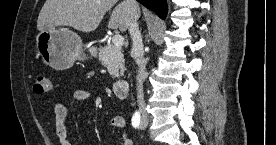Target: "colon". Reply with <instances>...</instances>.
Masks as SVG:
<instances>
[{"mask_svg":"<svg viewBox=\"0 0 276 145\" xmlns=\"http://www.w3.org/2000/svg\"><path fill=\"white\" fill-rule=\"evenodd\" d=\"M52 90V83L50 78L43 73H37L35 75L33 91L36 94H44Z\"/></svg>","mask_w":276,"mask_h":145,"instance_id":"obj_1","label":"colon"}]
</instances>
